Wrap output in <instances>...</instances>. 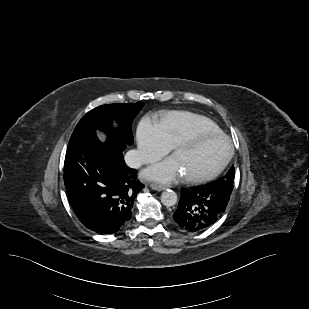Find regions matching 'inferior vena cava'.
Wrapping results in <instances>:
<instances>
[{
    "label": "inferior vena cava",
    "instance_id": "obj_1",
    "mask_svg": "<svg viewBox=\"0 0 309 309\" xmlns=\"http://www.w3.org/2000/svg\"><path fill=\"white\" fill-rule=\"evenodd\" d=\"M124 159L126 164L131 168H139L141 164L153 162L156 160L155 157L140 153L137 150L128 151Z\"/></svg>",
    "mask_w": 309,
    "mask_h": 309
}]
</instances>
